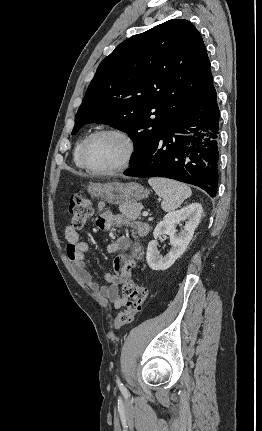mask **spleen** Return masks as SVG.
<instances>
[{"label":"spleen","instance_id":"obj_1","mask_svg":"<svg viewBox=\"0 0 262 431\" xmlns=\"http://www.w3.org/2000/svg\"><path fill=\"white\" fill-rule=\"evenodd\" d=\"M148 183L163 199L161 207L165 212L174 211L192 194L186 184L167 178H149Z\"/></svg>","mask_w":262,"mask_h":431}]
</instances>
